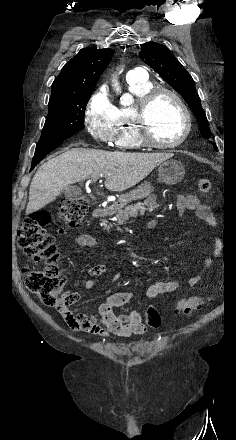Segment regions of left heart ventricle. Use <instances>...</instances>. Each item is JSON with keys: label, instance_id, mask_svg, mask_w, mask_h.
Instances as JSON below:
<instances>
[{"label": "left heart ventricle", "instance_id": "obj_1", "mask_svg": "<svg viewBox=\"0 0 236 440\" xmlns=\"http://www.w3.org/2000/svg\"><path fill=\"white\" fill-rule=\"evenodd\" d=\"M153 138L160 143L174 142L181 137L185 119L178 103L169 95H161L149 113Z\"/></svg>", "mask_w": 236, "mask_h": 440}]
</instances>
